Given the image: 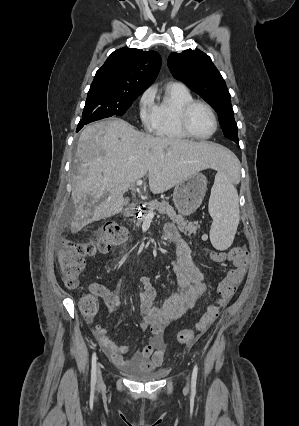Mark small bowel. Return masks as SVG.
<instances>
[{
	"label": "small bowel",
	"mask_w": 299,
	"mask_h": 426,
	"mask_svg": "<svg viewBox=\"0 0 299 426\" xmlns=\"http://www.w3.org/2000/svg\"><path fill=\"white\" fill-rule=\"evenodd\" d=\"M166 238L176 245V258L170 265L176 275L178 289L169 296L161 306L155 305L156 291L145 276L139 280L140 310L143 315L140 327L149 331L151 337L147 344L135 351L129 358L126 345H118L107 336V328L94 325V335L112 362L120 367L155 368L163 364L165 359L164 333L166 326L181 318L206 293L205 274L193 261L188 243L181 237L173 224L164 227ZM91 290L103 299L108 310L113 312L119 305L116 290L94 284Z\"/></svg>",
	"instance_id": "small-bowel-1"
}]
</instances>
